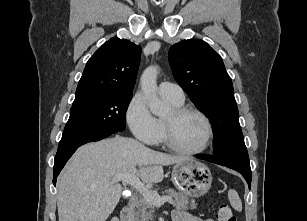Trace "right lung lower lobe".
<instances>
[{"mask_svg":"<svg viewBox=\"0 0 307 221\" xmlns=\"http://www.w3.org/2000/svg\"><path fill=\"white\" fill-rule=\"evenodd\" d=\"M111 134L103 135V136H97V137H90L83 139L79 142L73 143L71 145L65 146L63 148H59L54 161V167H53V184L56 185L57 176L59 175L60 171L68 161V159L72 156V154L76 151L78 147H80L83 144H86L88 142H94L101 140L105 137H108Z\"/></svg>","mask_w":307,"mask_h":221,"instance_id":"right-lung-lower-lobe-1","label":"right lung lower lobe"}]
</instances>
